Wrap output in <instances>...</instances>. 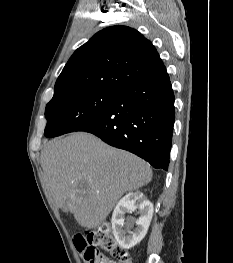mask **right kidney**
Returning <instances> with one entry per match:
<instances>
[{"mask_svg": "<svg viewBox=\"0 0 233 263\" xmlns=\"http://www.w3.org/2000/svg\"><path fill=\"white\" fill-rule=\"evenodd\" d=\"M138 210L139 218H129L125 224V214ZM153 216V204L142 192H132L125 195L116 205L112 214V229L115 239L124 249L137 245L145 237ZM134 222L136 227L133 231ZM125 224V229H124Z\"/></svg>", "mask_w": 233, "mask_h": 263, "instance_id": "ca27d5eb", "label": "right kidney"}]
</instances>
